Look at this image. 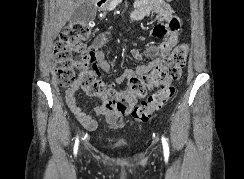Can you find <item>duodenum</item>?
Wrapping results in <instances>:
<instances>
[{"label": "duodenum", "instance_id": "obj_1", "mask_svg": "<svg viewBox=\"0 0 244 179\" xmlns=\"http://www.w3.org/2000/svg\"><path fill=\"white\" fill-rule=\"evenodd\" d=\"M106 0H99L97 1V5H96V10H103V6H105Z\"/></svg>", "mask_w": 244, "mask_h": 179}]
</instances>
